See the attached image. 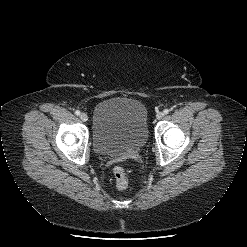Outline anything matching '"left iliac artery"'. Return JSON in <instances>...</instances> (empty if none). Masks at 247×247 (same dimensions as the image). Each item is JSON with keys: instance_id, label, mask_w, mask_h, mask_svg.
I'll use <instances>...</instances> for the list:
<instances>
[{"instance_id": "1", "label": "left iliac artery", "mask_w": 247, "mask_h": 247, "mask_svg": "<svg viewBox=\"0 0 247 247\" xmlns=\"http://www.w3.org/2000/svg\"><path fill=\"white\" fill-rule=\"evenodd\" d=\"M163 112H164V114H168L169 113V110L168 109H165Z\"/></svg>"}]
</instances>
